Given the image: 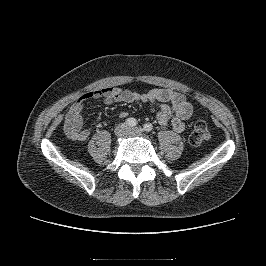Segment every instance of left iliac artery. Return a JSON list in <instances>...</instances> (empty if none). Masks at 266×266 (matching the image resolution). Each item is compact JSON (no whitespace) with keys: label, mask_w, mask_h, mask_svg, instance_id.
<instances>
[{"label":"left iliac artery","mask_w":266,"mask_h":266,"mask_svg":"<svg viewBox=\"0 0 266 266\" xmlns=\"http://www.w3.org/2000/svg\"><path fill=\"white\" fill-rule=\"evenodd\" d=\"M153 129V125L151 123H147L144 125V130L149 132Z\"/></svg>","instance_id":"44dca946"}]
</instances>
